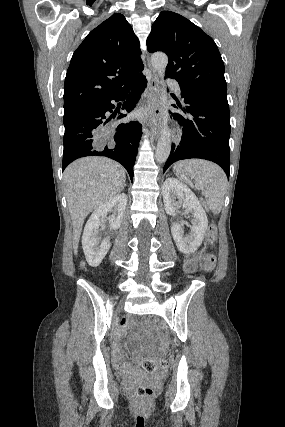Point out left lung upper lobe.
<instances>
[{"label":"left lung upper lobe","instance_id":"obj_1","mask_svg":"<svg viewBox=\"0 0 285 427\" xmlns=\"http://www.w3.org/2000/svg\"><path fill=\"white\" fill-rule=\"evenodd\" d=\"M150 53L168 55L166 76L187 92L208 93L227 99L224 63L213 39L185 17L162 11L147 38Z\"/></svg>","mask_w":285,"mask_h":427}]
</instances>
